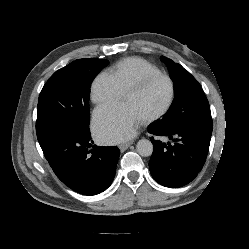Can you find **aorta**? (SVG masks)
Returning <instances> with one entry per match:
<instances>
[{
  "label": "aorta",
  "mask_w": 249,
  "mask_h": 249,
  "mask_svg": "<svg viewBox=\"0 0 249 249\" xmlns=\"http://www.w3.org/2000/svg\"><path fill=\"white\" fill-rule=\"evenodd\" d=\"M136 150L139 155L143 157H148L153 152V144L150 140L147 139H141L137 142Z\"/></svg>",
  "instance_id": "1"
}]
</instances>
